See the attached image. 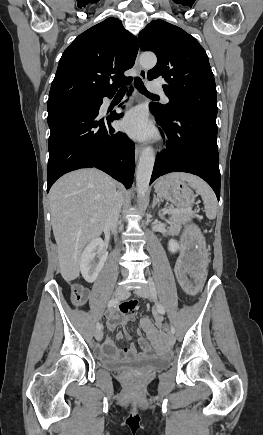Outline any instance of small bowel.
Instances as JSON below:
<instances>
[{"label": "small bowel", "instance_id": "small-bowel-1", "mask_svg": "<svg viewBox=\"0 0 263 435\" xmlns=\"http://www.w3.org/2000/svg\"><path fill=\"white\" fill-rule=\"evenodd\" d=\"M179 260H184V255L180 256L175 265V272L178 269ZM137 309L135 302L126 303L120 306L118 309L113 310L106 316L107 325L110 330L115 329L119 325H125L129 321H133L135 316L134 312ZM156 326L153 325L149 318H143L141 325L144 331L147 333L151 341H147L140 333L138 336V344L142 350L139 352L134 344H131L128 348H118L116 344L110 339L106 338L102 343H99L95 352L96 355L105 361L110 360H134L142 358L146 355H159L164 344L161 342L164 339L163 334V319L159 314H155ZM128 339L129 335H125ZM117 339L120 340L124 337L122 332L117 333Z\"/></svg>", "mask_w": 263, "mask_h": 435}]
</instances>
